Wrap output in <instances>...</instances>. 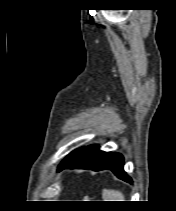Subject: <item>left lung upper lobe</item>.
I'll list each match as a JSON object with an SVG mask.
<instances>
[{
  "label": "left lung upper lobe",
  "mask_w": 176,
  "mask_h": 211,
  "mask_svg": "<svg viewBox=\"0 0 176 211\" xmlns=\"http://www.w3.org/2000/svg\"><path fill=\"white\" fill-rule=\"evenodd\" d=\"M81 150H82V148H81V149H78V150H75V151H73L72 153H70V154L62 161V163H63L64 161L70 159V158L73 157L74 155H76V154H77L78 152H80Z\"/></svg>",
  "instance_id": "left-lung-upper-lobe-1"
}]
</instances>
